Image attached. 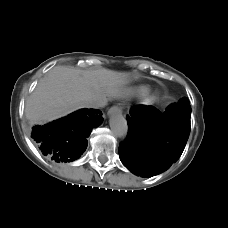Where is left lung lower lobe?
Here are the masks:
<instances>
[{"instance_id": "obj_1", "label": "left lung lower lobe", "mask_w": 228, "mask_h": 228, "mask_svg": "<svg viewBox=\"0 0 228 228\" xmlns=\"http://www.w3.org/2000/svg\"><path fill=\"white\" fill-rule=\"evenodd\" d=\"M128 135L119 145L122 163L134 174L151 177L181 156L190 134L189 102L172 104L164 113L152 106L131 110Z\"/></svg>"}]
</instances>
